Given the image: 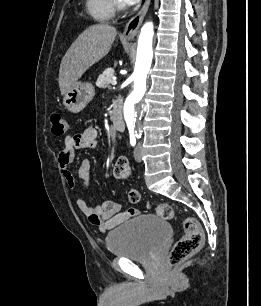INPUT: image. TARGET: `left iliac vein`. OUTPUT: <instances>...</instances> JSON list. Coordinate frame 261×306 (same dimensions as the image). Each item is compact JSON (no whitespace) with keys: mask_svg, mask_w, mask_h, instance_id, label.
Returning <instances> with one entry per match:
<instances>
[{"mask_svg":"<svg viewBox=\"0 0 261 306\" xmlns=\"http://www.w3.org/2000/svg\"><path fill=\"white\" fill-rule=\"evenodd\" d=\"M134 158L137 162H141L142 160V145L141 142H138L134 149Z\"/></svg>","mask_w":261,"mask_h":306,"instance_id":"obj_1","label":"left iliac vein"}]
</instances>
